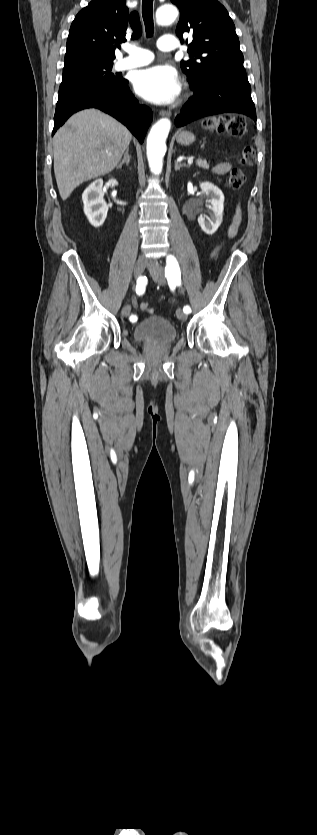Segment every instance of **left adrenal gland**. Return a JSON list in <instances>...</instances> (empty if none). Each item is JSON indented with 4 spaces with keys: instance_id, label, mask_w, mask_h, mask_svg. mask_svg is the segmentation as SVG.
Masks as SVG:
<instances>
[{
    "instance_id": "left-adrenal-gland-1",
    "label": "left adrenal gland",
    "mask_w": 317,
    "mask_h": 835,
    "mask_svg": "<svg viewBox=\"0 0 317 835\" xmlns=\"http://www.w3.org/2000/svg\"><path fill=\"white\" fill-rule=\"evenodd\" d=\"M182 167H189V165H187L185 163H179L178 161H175V171L180 170V168H182Z\"/></svg>"
}]
</instances>
